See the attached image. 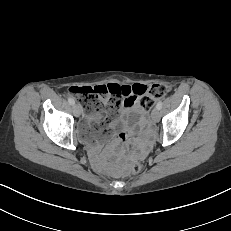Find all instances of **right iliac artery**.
Masks as SVG:
<instances>
[{
    "mask_svg": "<svg viewBox=\"0 0 231 231\" xmlns=\"http://www.w3.org/2000/svg\"><path fill=\"white\" fill-rule=\"evenodd\" d=\"M68 102L71 104V105H74L75 104V101L73 98H68Z\"/></svg>",
    "mask_w": 231,
    "mask_h": 231,
    "instance_id": "obj_1",
    "label": "right iliac artery"
}]
</instances>
